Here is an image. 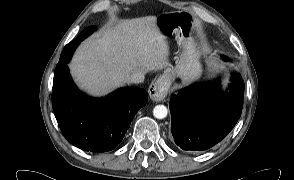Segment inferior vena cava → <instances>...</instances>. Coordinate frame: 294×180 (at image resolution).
I'll list each match as a JSON object with an SVG mask.
<instances>
[{"instance_id":"602c4592","label":"inferior vena cava","mask_w":294,"mask_h":180,"mask_svg":"<svg viewBox=\"0 0 294 180\" xmlns=\"http://www.w3.org/2000/svg\"><path fill=\"white\" fill-rule=\"evenodd\" d=\"M144 79H145V76L143 73L135 72L127 78V82L133 83V84H139V83H143Z\"/></svg>"}]
</instances>
